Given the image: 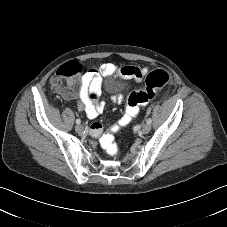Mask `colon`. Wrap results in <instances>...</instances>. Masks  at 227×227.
<instances>
[{"label": "colon", "mask_w": 227, "mask_h": 227, "mask_svg": "<svg viewBox=\"0 0 227 227\" xmlns=\"http://www.w3.org/2000/svg\"><path fill=\"white\" fill-rule=\"evenodd\" d=\"M82 67L77 62H68L57 74L51 83L53 92L73 97L78 87L79 77ZM130 78H139L141 72L137 68L124 71ZM171 80L170 74L163 69L154 70L146 75L145 86L143 89L132 92L127 99L123 115L118 121V127H124L137 116L141 106L153 99L156 93L167 85ZM92 97H97V92L92 91ZM101 147L111 156L120 151V146L113 134H103L99 138Z\"/></svg>", "instance_id": "colon-1"}]
</instances>
